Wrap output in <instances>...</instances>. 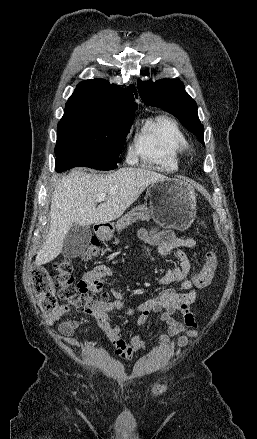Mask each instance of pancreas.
I'll return each instance as SVG.
<instances>
[{"mask_svg": "<svg viewBox=\"0 0 257 439\" xmlns=\"http://www.w3.org/2000/svg\"><path fill=\"white\" fill-rule=\"evenodd\" d=\"M151 218L150 211L146 204L132 208L127 214L122 216L116 223L117 231L120 232L126 226L134 223L140 219L142 221H148Z\"/></svg>", "mask_w": 257, "mask_h": 439, "instance_id": "cf45deb5", "label": "pancreas"}]
</instances>
